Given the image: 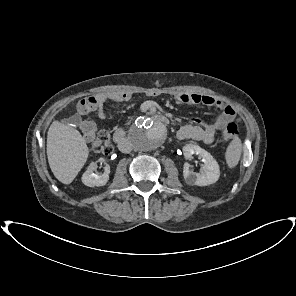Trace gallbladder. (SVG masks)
<instances>
[{"instance_id": "bac80fb5", "label": "gallbladder", "mask_w": 296, "mask_h": 296, "mask_svg": "<svg viewBox=\"0 0 296 296\" xmlns=\"http://www.w3.org/2000/svg\"><path fill=\"white\" fill-rule=\"evenodd\" d=\"M81 122V117L79 115H74L70 118H66L62 120V123L67 124V125H74L77 126Z\"/></svg>"}]
</instances>
